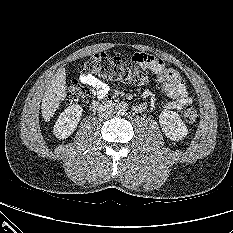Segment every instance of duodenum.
<instances>
[{
  "label": "duodenum",
  "mask_w": 233,
  "mask_h": 233,
  "mask_svg": "<svg viewBox=\"0 0 233 233\" xmlns=\"http://www.w3.org/2000/svg\"><path fill=\"white\" fill-rule=\"evenodd\" d=\"M123 102L115 97L108 96L102 100H99L98 102H94L91 105V108L94 110L101 109L102 107L106 106H116L121 105Z\"/></svg>",
  "instance_id": "duodenum-1"
}]
</instances>
